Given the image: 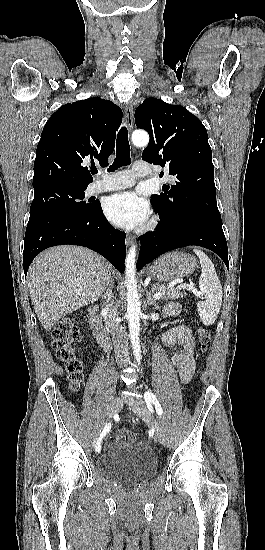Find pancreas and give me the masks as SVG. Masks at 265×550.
Masks as SVG:
<instances>
[{
  "instance_id": "obj_1",
  "label": "pancreas",
  "mask_w": 265,
  "mask_h": 550,
  "mask_svg": "<svg viewBox=\"0 0 265 550\" xmlns=\"http://www.w3.org/2000/svg\"><path fill=\"white\" fill-rule=\"evenodd\" d=\"M153 289L156 292L163 293V299L164 300H167V299L178 300V299L183 298L185 296V294L180 292L179 289L174 288V287H170V286H166L164 284H154Z\"/></svg>"
}]
</instances>
